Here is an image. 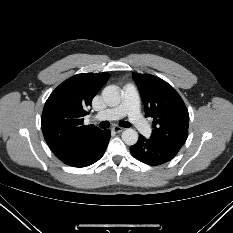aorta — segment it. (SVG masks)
<instances>
[{
  "instance_id": "1",
  "label": "aorta",
  "mask_w": 233,
  "mask_h": 233,
  "mask_svg": "<svg viewBox=\"0 0 233 233\" xmlns=\"http://www.w3.org/2000/svg\"><path fill=\"white\" fill-rule=\"evenodd\" d=\"M102 98L108 106H118L121 102L120 88L115 85L105 87L102 91ZM121 137L123 142L129 146L136 144L138 141V133L132 128L123 131Z\"/></svg>"
}]
</instances>
